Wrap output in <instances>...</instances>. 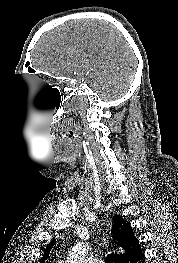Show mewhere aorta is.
<instances>
[{
    "mask_svg": "<svg viewBox=\"0 0 178 263\" xmlns=\"http://www.w3.org/2000/svg\"><path fill=\"white\" fill-rule=\"evenodd\" d=\"M85 245L83 243H77V245L72 249L67 263H82L85 255Z\"/></svg>",
    "mask_w": 178,
    "mask_h": 263,
    "instance_id": "1",
    "label": "aorta"
}]
</instances>
